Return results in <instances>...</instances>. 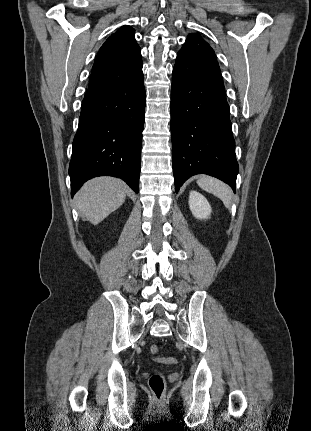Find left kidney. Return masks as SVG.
Listing matches in <instances>:
<instances>
[{"mask_svg": "<svg viewBox=\"0 0 311 431\" xmlns=\"http://www.w3.org/2000/svg\"><path fill=\"white\" fill-rule=\"evenodd\" d=\"M189 208L197 219H207L211 214V206L208 200L202 194H199V192H194V190L190 192Z\"/></svg>", "mask_w": 311, "mask_h": 431, "instance_id": "5707ae66", "label": "left kidney"}]
</instances>
